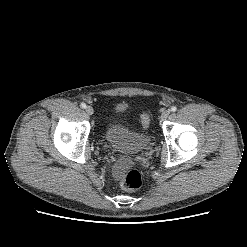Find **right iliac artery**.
<instances>
[{
	"instance_id": "right-iliac-artery-1",
	"label": "right iliac artery",
	"mask_w": 247,
	"mask_h": 247,
	"mask_svg": "<svg viewBox=\"0 0 247 247\" xmlns=\"http://www.w3.org/2000/svg\"><path fill=\"white\" fill-rule=\"evenodd\" d=\"M80 106H81V108H83V109L86 108V104H85V103H81Z\"/></svg>"
}]
</instances>
